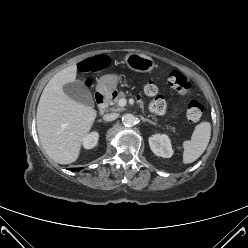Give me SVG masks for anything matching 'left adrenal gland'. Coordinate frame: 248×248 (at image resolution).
Here are the masks:
<instances>
[{
    "label": "left adrenal gland",
    "instance_id": "obj_1",
    "mask_svg": "<svg viewBox=\"0 0 248 248\" xmlns=\"http://www.w3.org/2000/svg\"><path fill=\"white\" fill-rule=\"evenodd\" d=\"M141 119H142V121H147V122H149V123H151V124H155L154 122H152L151 120H149V119H147V118H144V117H141Z\"/></svg>",
    "mask_w": 248,
    "mask_h": 248
}]
</instances>
